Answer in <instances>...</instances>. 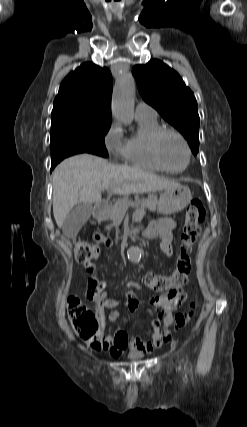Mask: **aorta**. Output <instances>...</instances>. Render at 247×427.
Masks as SVG:
<instances>
[{"label":"aorta","instance_id":"obj_1","mask_svg":"<svg viewBox=\"0 0 247 427\" xmlns=\"http://www.w3.org/2000/svg\"><path fill=\"white\" fill-rule=\"evenodd\" d=\"M134 96L135 80L131 73L123 71L117 78L112 96V114L116 120L125 124L132 122ZM127 254L131 261H138L141 258L138 247H131Z\"/></svg>","mask_w":247,"mask_h":427}]
</instances>
